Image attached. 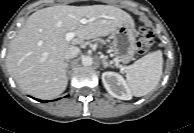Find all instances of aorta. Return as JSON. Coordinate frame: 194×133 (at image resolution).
I'll return each mask as SVG.
<instances>
[{"label": "aorta", "instance_id": "1", "mask_svg": "<svg viewBox=\"0 0 194 133\" xmlns=\"http://www.w3.org/2000/svg\"><path fill=\"white\" fill-rule=\"evenodd\" d=\"M82 64L84 66H91L93 64V59L90 56H84L82 58Z\"/></svg>", "mask_w": 194, "mask_h": 133}]
</instances>
